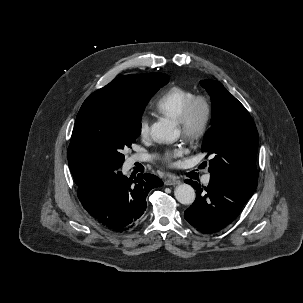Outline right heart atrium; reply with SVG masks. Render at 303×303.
Listing matches in <instances>:
<instances>
[{
    "label": "right heart atrium",
    "instance_id": "right-heart-atrium-1",
    "mask_svg": "<svg viewBox=\"0 0 303 303\" xmlns=\"http://www.w3.org/2000/svg\"><path fill=\"white\" fill-rule=\"evenodd\" d=\"M149 132H150L149 119L147 116L143 115L139 120V135L142 138H147L149 136Z\"/></svg>",
    "mask_w": 303,
    "mask_h": 303
}]
</instances>
